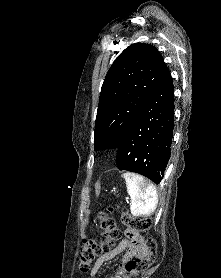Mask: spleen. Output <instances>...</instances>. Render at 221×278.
I'll return each instance as SVG.
<instances>
[{"label":"spleen","mask_w":221,"mask_h":278,"mask_svg":"<svg viewBox=\"0 0 221 278\" xmlns=\"http://www.w3.org/2000/svg\"><path fill=\"white\" fill-rule=\"evenodd\" d=\"M127 192L131 197L130 211L136 217L151 216L158 205V194L155 186L142 176L134 173H124Z\"/></svg>","instance_id":"1"}]
</instances>
